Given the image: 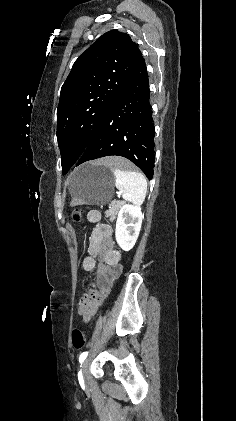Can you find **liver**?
I'll return each instance as SVG.
<instances>
[{
	"mask_svg": "<svg viewBox=\"0 0 236 421\" xmlns=\"http://www.w3.org/2000/svg\"><path fill=\"white\" fill-rule=\"evenodd\" d=\"M119 162H121L119 156H105L103 160H99L98 164H106V166H109V164H119ZM122 162H125V160H122Z\"/></svg>",
	"mask_w": 236,
	"mask_h": 421,
	"instance_id": "liver-1",
	"label": "liver"
}]
</instances>
